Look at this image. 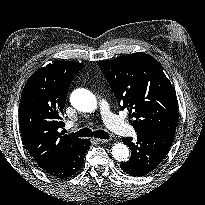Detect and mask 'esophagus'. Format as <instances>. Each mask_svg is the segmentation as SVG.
<instances>
[{
	"label": "esophagus",
	"instance_id": "obj_1",
	"mask_svg": "<svg viewBox=\"0 0 205 205\" xmlns=\"http://www.w3.org/2000/svg\"><path fill=\"white\" fill-rule=\"evenodd\" d=\"M96 140H97V142H99V143H101V144H106V143L109 142L108 139H96Z\"/></svg>",
	"mask_w": 205,
	"mask_h": 205
}]
</instances>
